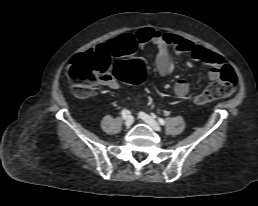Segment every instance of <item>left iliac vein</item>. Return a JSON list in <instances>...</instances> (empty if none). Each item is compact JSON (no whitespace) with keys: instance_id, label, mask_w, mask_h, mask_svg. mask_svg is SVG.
I'll return each instance as SVG.
<instances>
[{"instance_id":"obj_1","label":"left iliac vein","mask_w":258,"mask_h":206,"mask_svg":"<svg viewBox=\"0 0 258 206\" xmlns=\"http://www.w3.org/2000/svg\"><path fill=\"white\" fill-rule=\"evenodd\" d=\"M139 116L140 118L146 122L152 129H154L155 131H160L161 130V127L160 125L157 123L156 120H154L151 116L143 113V112H140L139 113Z\"/></svg>"}]
</instances>
